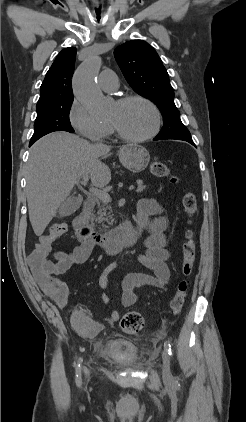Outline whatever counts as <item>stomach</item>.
Segmentation results:
<instances>
[{
	"instance_id": "1",
	"label": "stomach",
	"mask_w": 246,
	"mask_h": 422,
	"mask_svg": "<svg viewBox=\"0 0 246 422\" xmlns=\"http://www.w3.org/2000/svg\"><path fill=\"white\" fill-rule=\"evenodd\" d=\"M119 159L124 167L133 173H139L148 166L150 155L141 145L126 144L119 150Z\"/></svg>"
}]
</instances>
